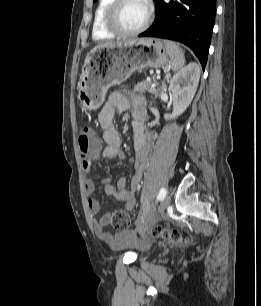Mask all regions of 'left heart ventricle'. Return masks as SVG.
<instances>
[{
	"label": "left heart ventricle",
	"instance_id": "b2bd125f",
	"mask_svg": "<svg viewBox=\"0 0 261 306\" xmlns=\"http://www.w3.org/2000/svg\"><path fill=\"white\" fill-rule=\"evenodd\" d=\"M146 14L143 0H126L118 12V21L124 29L133 30L144 22Z\"/></svg>",
	"mask_w": 261,
	"mask_h": 306
}]
</instances>
